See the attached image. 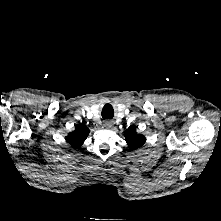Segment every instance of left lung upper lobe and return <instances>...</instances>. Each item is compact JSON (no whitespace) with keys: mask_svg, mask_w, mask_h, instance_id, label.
<instances>
[{"mask_svg":"<svg viewBox=\"0 0 221 221\" xmlns=\"http://www.w3.org/2000/svg\"><path fill=\"white\" fill-rule=\"evenodd\" d=\"M124 136L126 138L127 145L131 150H136L137 148H140L146 141L143 135H139L136 132L135 127H129L125 131Z\"/></svg>","mask_w":221,"mask_h":221,"instance_id":"obj_1","label":"left lung upper lobe"}]
</instances>
